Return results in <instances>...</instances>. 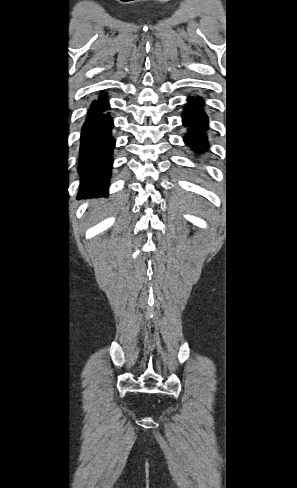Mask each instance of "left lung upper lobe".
Here are the masks:
<instances>
[{"mask_svg":"<svg viewBox=\"0 0 297 488\" xmlns=\"http://www.w3.org/2000/svg\"><path fill=\"white\" fill-rule=\"evenodd\" d=\"M67 139H68V138H66V143H68V142H67V141H68ZM67 145H68V144H67ZM67 147H68V146H67Z\"/></svg>","mask_w":297,"mask_h":488,"instance_id":"1","label":"left lung upper lobe"}]
</instances>
